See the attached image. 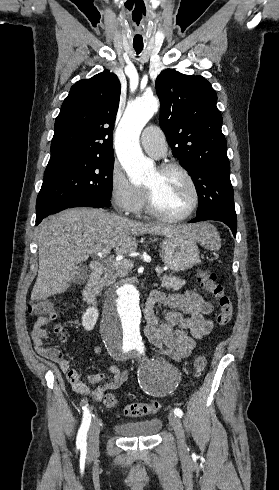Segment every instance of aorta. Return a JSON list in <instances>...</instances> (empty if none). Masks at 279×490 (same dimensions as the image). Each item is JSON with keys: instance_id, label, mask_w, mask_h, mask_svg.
<instances>
[{"instance_id": "obj_1", "label": "aorta", "mask_w": 279, "mask_h": 490, "mask_svg": "<svg viewBox=\"0 0 279 490\" xmlns=\"http://www.w3.org/2000/svg\"><path fill=\"white\" fill-rule=\"evenodd\" d=\"M159 108L154 96L128 104L115 134V150L131 182L147 180L154 171L153 162L144 156L139 144L142 129ZM140 293L131 284L111 292L103 310L102 335L114 353H127L142 343Z\"/></svg>"}]
</instances>
